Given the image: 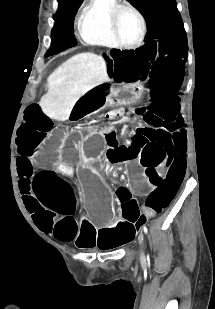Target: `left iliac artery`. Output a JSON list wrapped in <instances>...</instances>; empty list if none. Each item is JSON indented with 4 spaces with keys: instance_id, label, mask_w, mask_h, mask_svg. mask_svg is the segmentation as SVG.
<instances>
[{
    "instance_id": "obj_1",
    "label": "left iliac artery",
    "mask_w": 215,
    "mask_h": 309,
    "mask_svg": "<svg viewBox=\"0 0 215 309\" xmlns=\"http://www.w3.org/2000/svg\"><path fill=\"white\" fill-rule=\"evenodd\" d=\"M143 230L145 233H147V227L145 225L143 226Z\"/></svg>"
}]
</instances>
